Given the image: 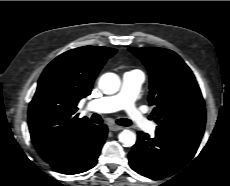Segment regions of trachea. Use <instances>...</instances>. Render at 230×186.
<instances>
[{
	"mask_svg": "<svg viewBox=\"0 0 230 186\" xmlns=\"http://www.w3.org/2000/svg\"><path fill=\"white\" fill-rule=\"evenodd\" d=\"M91 121H92V123H102V122H103V119H102V117H101L100 115H98V114H93V115L91 116ZM116 123H117L118 125H121V126H130V125L132 124L131 121H130L129 119H126V118L118 119V120L116 121Z\"/></svg>",
	"mask_w": 230,
	"mask_h": 186,
	"instance_id": "1",
	"label": "trachea"
}]
</instances>
